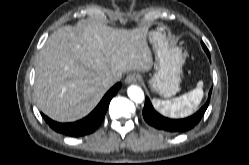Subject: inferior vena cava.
Masks as SVG:
<instances>
[{
    "label": "inferior vena cava",
    "mask_w": 249,
    "mask_h": 165,
    "mask_svg": "<svg viewBox=\"0 0 249 165\" xmlns=\"http://www.w3.org/2000/svg\"><path fill=\"white\" fill-rule=\"evenodd\" d=\"M118 81V79L116 77L113 76H107L103 79V85L105 87H111L113 86L116 82Z\"/></svg>",
    "instance_id": "1"
}]
</instances>
